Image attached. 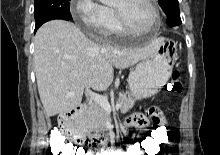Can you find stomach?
Masks as SVG:
<instances>
[{"label":"stomach","instance_id":"stomach-1","mask_svg":"<svg viewBox=\"0 0 220 155\" xmlns=\"http://www.w3.org/2000/svg\"><path fill=\"white\" fill-rule=\"evenodd\" d=\"M176 44L159 38L157 49L138 63L128 77L132 97L141 100L156 95L168 82L176 56Z\"/></svg>","mask_w":220,"mask_h":155}]
</instances>
